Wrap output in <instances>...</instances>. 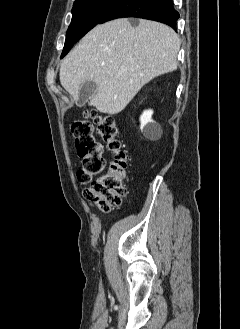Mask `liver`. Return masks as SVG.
I'll use <instances>...</instances> for the list:
<instances>
[{
  "instance_id": "6515ba94",
  "label": "liver",
  "mask_w": 240,
  "mask_h": 329,
  "mask_svg": "<svg viewBox=\"0 0 240 329\" xmlns=\"http://www.w3.org/2000/svg\"><path fill=\"white\" fill-rule=\"evenodd\" d=\"M180 44L174 30L155 21L140 19L136 27L127 19L97 25L63 60L60 82L78 101L80 86L94 81L89 105L117 114L145 84L177 69Z\"/></svg>"
}]
</instances>
